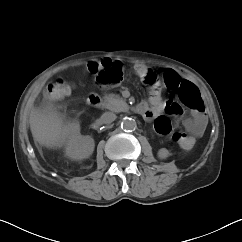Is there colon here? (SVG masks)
I'll return each mask as SVG.
<instances>
[{
    "label": "colon",
    "instance_id": "1",
    "mask_svg": "<svg viewBox=\"0 0 242 242\" xmlns=\"http://www.w3.org/2000/svg\"><path fill=\"white\" fill-rule=\"evenodd\" d=\"M88 72L96 76V81L99 85L110 86L119 83L122 79V68L115 63L107 62H91L88 64ZM142 80L145 85L154 93L158 94L160 91V85L156 74L152 71H148L143 75ZM165 84L171 90H178V97L183 105L194 112H201L203 109V103L200 97L197 87L186 81L176 77L173 73L168 72L165 74ZM74 86L63 79H58L49 83L44 91V97L46 102H53L67 96ZM154 128L157 133L161 135L172 134L171 121L162 115H158L154 120ZM173 139H176V133L173 134Z\"/></svg>",
    "mask_w": 242,
    "mask_h": 242
}]
</instances>
